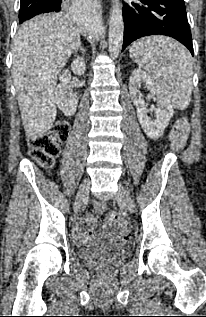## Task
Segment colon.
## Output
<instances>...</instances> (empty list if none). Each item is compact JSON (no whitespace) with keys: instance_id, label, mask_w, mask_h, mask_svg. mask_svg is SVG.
<instances>
[{"instance_id":"obj_1","label":"colon","mask_w":206,"mask_h":317,"mask_svg":"<svg viewBox=\"0 0 206 317\" xmlns=\"http://www.w3.org/2000/svg\"><path fill=\"white\" fill-rule=\"evenodd\" d=\"M69 124L65 121H59L54 124L50 130L35 139L29 141L30 155L44 167H51L55 158L60 153V147L69 135ZM189 132V124L186 118H179L171 132V148L180 151L185 147ZM97 213L106 212V205L101 202L94 204ZM108 223L117 226L123 234H130L129 224L122 217L112 212L107 216Z\"/></svg>"}]
</instances>
